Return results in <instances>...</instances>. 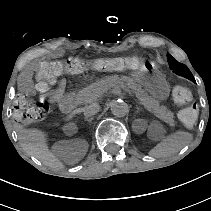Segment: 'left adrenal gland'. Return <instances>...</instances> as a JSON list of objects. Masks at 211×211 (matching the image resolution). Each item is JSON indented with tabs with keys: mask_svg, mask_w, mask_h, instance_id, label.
I'll list each match as a JSON object with an SVG mask.
<instances>
[{
	"mask_svg": "<svg viewBox=\"0 0 211 211\" xmlns=\"http://www.w3.org/2000/svg\"><path fill=\"white\" fill-rule=\"evenodd\" d=\"M136 112L138 113L140 111V108L138 106H136Z\"/></svg>",
	"mask_w": 211,
	"mask_h": 211,
	"instance_id": "a2214340",
	"label": "left adrenal gland"
}]
</instances>
